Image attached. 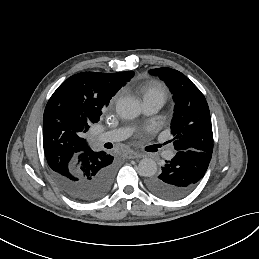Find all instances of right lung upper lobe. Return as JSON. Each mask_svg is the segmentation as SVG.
I'll list each match as a JSON object with an SVG mask.
<instances>
[{"instance_id":"right-lung-upper-lobe-1","label":"right lung upper lobe","mask_w":259,"mask_h":259,"mask_svg":"<svg viewBox=\"0 0 259 259\" xmlns=\"http://www.w3.org/2000/svg\"><path fill=\"white\" fill-rule=\"evenodd\" d=\"M134 75L83 72L64 81L48 101L43 116V147L54 172L67 171L92 151L85 133L99 121L102 108Z\"/></svg>"}]
</instances>
